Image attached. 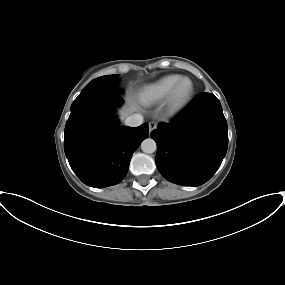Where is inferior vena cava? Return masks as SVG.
<instances>
[{"label": "inferior vena cava", "mask_w": 285, "mask_h": 285, "mask_svg": "<svg viewBox=\"0 0 285 285\" xmlns=\"http://www.w3.org/2000/svg\"><path fill=\"white\" fill-rule=\"evenodd\" d=\"M143 123V116L140 114H133L126 118L125 124L130 127H137Z\"/></svg>", "instance_id": "obj_1"}]
</instances>
